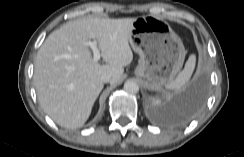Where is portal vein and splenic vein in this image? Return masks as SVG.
Returning a JSON list of instances; mask_svg holds the SVG:
<instances>
[{"instance_id": "18ae733b", "label": "portal vein and splenic vein", "mask_w": 244, "mask_h": 157, "mask_svg": "<svg viewBox=\"0 0 244 157\" xmlns=\"http://www.w3.org/2000/svg\"><path fill=\"white\" fill-rule=\"evenodd\" d=\"M87 44L89 45V47L93 51V61L98 62L101 58V53L97 47V42L96 41H89Z\"/></svg>"}]
</instances>
